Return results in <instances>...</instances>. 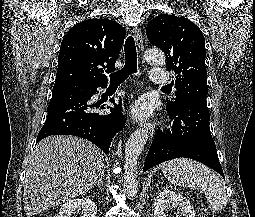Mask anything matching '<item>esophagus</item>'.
Wrapping results in <instances>:
<instances>
[{"mask_svg":"<svg viewBox=\"0 0 255 217\" xmlns=\"http://www.w3.org/2000/svg\"><path fill=\"white\" fill-rule=\"evenodd\" d=\"M133 34H134V38H135V41H136V44H137L139 50L141 52H143L144 51V43H143V35H142V32H141L140 28L135 27L133 29ZM141 126H144L149 130V134H150L151 137L154 135V133H155V124L149 123V122H142Z\"/></svg>","mask_w":255,"mask_h":217,"instance_id":"1","label":"esophagus"}]
</instances>
